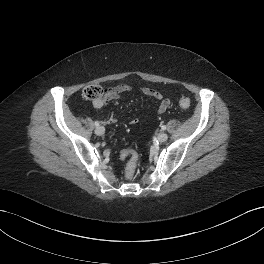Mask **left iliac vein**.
I'll use <instances>...</instances> for the list:
<instances>
[{"mask_svg": "<svg viewBox=\"0 0 264 264\" xmlns=\"http://www.w3.org/2000/svg\"><path fill=\"white\" fill-rule=\"evenodd\" d=\"M157 139H158L159 142L163 143V142L167 141L168 135L165 132H160L157 135Z\"/></svg>", "mask_w": 264, "mask_h": 264, "instance_id": "obj_1", "label": "left iliac vein"}]
</instances>
